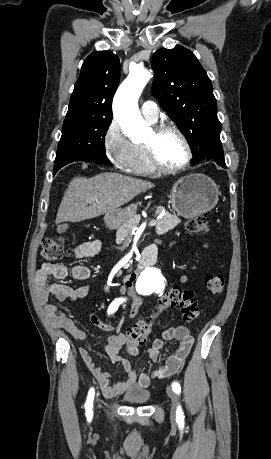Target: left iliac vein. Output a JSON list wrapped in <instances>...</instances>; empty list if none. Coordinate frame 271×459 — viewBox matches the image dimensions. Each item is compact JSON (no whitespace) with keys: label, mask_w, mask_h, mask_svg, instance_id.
Instances as JSON below:
<instances>
[{"label":"left iliac vein","mask_w":271,"mask_h":459,"mask_svg":"<svg viewBox=\"0 0 271 459\" xmlns=\"http://www.w3.org/2000/svg\"><path fill=\"white\" fill-rule=\"evenodd\" d=\"M166 392H167V395L169 396L170 401H171V406H172L171 407V416L175 417V415L177 413L178 405H179L178 397H177L176 393L170 387L166 388Z\"/></svg>","instance_id":"4c4485c4"}]
</instances>
